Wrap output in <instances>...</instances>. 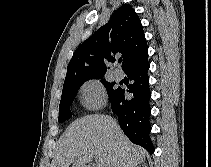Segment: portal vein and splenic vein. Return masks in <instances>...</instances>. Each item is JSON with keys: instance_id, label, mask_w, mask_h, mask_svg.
Returning a JSON list of instances; mask_svg holds the SVG:
<instances>
[{"instance_id": "1", "label": "portal vein and splenic vein", "mask_w": 211, "mask_h": 167, "mask_svg": "<svg viewBox=\"0 0 211 167\" xmlns=\"http://www.w3.org/2000/svg\"><path fill=\"white\" fill-rule=\"evenodd\" d=\"M95 161L97 163V167H105L104 161L101 157L95 156Z\"/></svg>"}]
</instances>
